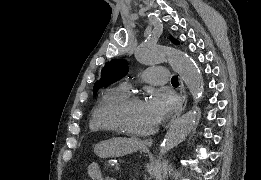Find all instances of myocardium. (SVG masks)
Listing matches in <instances>:
<instances>
[{"label": "myocardium", "mask_w": 261, "mask_h": 180, "mask_svg": "<svg viewBox=\"0 0 261 180\" xmlns=\"http://www.w3.org/2000/svg\"><path fill=\"white\" fill-rule=\"evenodd\" d=\"M140 99H142V97L139 93H135V92L127 93L116 103L115 106H113L111 108L110 118L112 121L115 136H127L132 139H136V140L142 139V138H152L155 136V134L157 133V131L159 129L158 121H157L156 125L153 127V129L150 132H148L147 134H145L143 136H133V135H129L126 133L121 122L117 118V113L121 109L131 105L133 102L140 100Z\"/></svg>", "instance_id": "1"}]
</instances>
